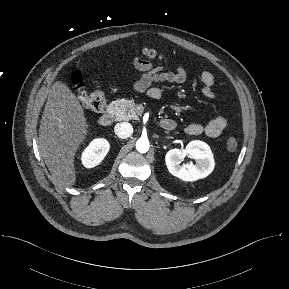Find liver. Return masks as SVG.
<instances>
[{
  "mask_svg": "<svg viewBox=\"0 0 289 289\" xmlns=\"http://www.w3.org/2000/svg\"><path fill=\"white\" fill-rule=\"evenodd\" d=\"M84 109L70 88L56 81L48 94L39 128L41 155L53 183L71 187L76 182L74 157L88 133Z\"/></svg>",
  "mask_w": 289,
  "mask_h": 289,
  "instance_id": "liver-1",
  "label": "liver"
}]
</instances>
